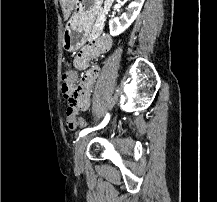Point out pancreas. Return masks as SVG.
<instances>
[{
    "mask_svg": "<svg viewBox=\"0 0 217 202\" xmlns=\"http://www.w3.org/2000/svg\"><path fill=\"white\" fill-rule=\"evenodd\" d=\"M100 34H101L100 30H93L89 36V41H94L95 38H98Z\"/></svg>",
    "mask_w": 217,
    "mask_h": 202,
    "instance_id": "obj_1",
    "label": "pancreas"
}]
</instances>
